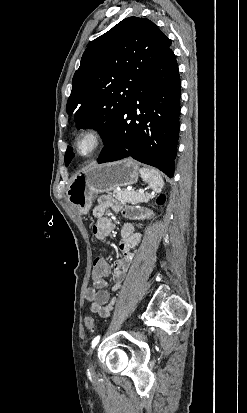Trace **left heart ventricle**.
I'll list each match as a JSON object with an SVG mask.
<instances>
[{"instance_id": "1", "label": "left heart ventricle", "mask_w": 247, "mask_h": 413, "mask_svg": "<svg viewBox=\"0 0 247 413\" xmlns=\"http://www.w3.org/2000/svg\"><path fill=\"white\" fill-rule=\"evenodd\" d=\"M94 144V140L90 137L85 138L82 141V149L84 152H88Z\"/></svg>"}]
</instances>
